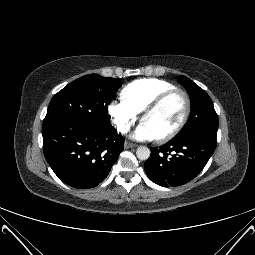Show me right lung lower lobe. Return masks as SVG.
Segmentation results:
<instances>
[{"mask_svg": "<svg viewBox=\"0 0 255 255\" xmlns=\"http://www.w3.org/2000/svg\"><path fill=\"white\" fill-rule=\"evenodd\" d=\"M43 149L54 173L77 189L96 187L123 150L124 138L113 127L96 129L73 119L44 122Z\"/></svg>", "mask_w": 255, "mask_h": 255, "instance_id": "right-lung-lower-lobe-1", "label": "right lung lower lobe"}]
</instances>
